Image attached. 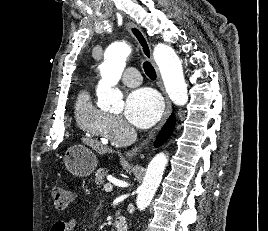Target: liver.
Returning <instances> with one entry per match:
<instances>
[{
  "label": "liver",
  "mask_w": 268,
  "mask_h": 231,
  "mask_svg": "<svg viewBox=\"0 0 268 231\" xmlns=\"http://www.w3.org/2000/svg\"><path fill=\"white\" fill-rule=\"evenodd\" d=\"M83 142L90 146L91 148H93L94 150H96L97 152H99L100 154H104L108 151V148L106 146H103L102 144H100L99 142L92 140V139H83Z\"/></svg>",
  "instance_id": "6515ba94"
}]
</instances>
